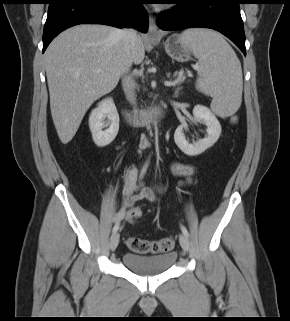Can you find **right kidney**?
Segmentation results:
<instances>
[{
  "label": "right kidney",
  "mask_w": 290,
  "mask_h": 321,
  "mask_svg": "<svg viewBox=\"0 0 290 321\" xmlns=\"http://www.w3.org/2000/svg\"><path fill=\"white\" fill-rule=\"evenodd\" d=\"M107 119V121H105ZM109 126L108 129L103 128ZM89 128L94 143L98 147L110 144L119 131V115L112 98L102 100L98 106L91 111L89 116Z\"/></svg>",
  "instance_id": "right-kidney-1"
}]
</instances>
